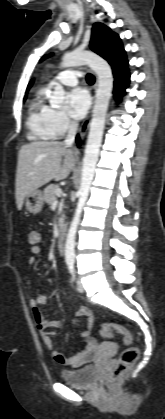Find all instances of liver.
<instances>
[{"mask_svg":"<svg viewBox=\"0 0 165 419\" xmlns=\"http://www.w3.org/2000/svg\"><path fill=\"white\" fill-rule=\"evenodd\" d=\"M74 166V153L63 142L37 141L23 145L18 154L15 182L17 208L21 210L26 196L51 180L66 179Z\"/></svg>","mask_w":165,"mask_h":419,"instance_id":"liver-1","label":"liver"}]
</instances>
